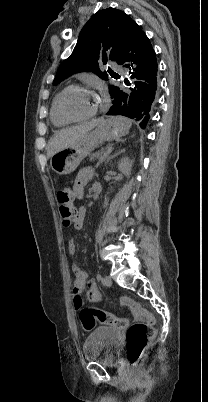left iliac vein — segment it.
<instances>
[{"label": "left iliac vein", "mask_w": 208, "mask_h": 402, "mask_svg": "<svg viewBox=\"0 0 208 402\" xmlns=\"http://www.w3.org/2000/svg\"><path fill=\"white\" fill-rule=\"evenodd\" d=\"M105 286L110 287L112 285V279L110 276L106 275L103 279Z\"/></svg>", "instance_id": "1"}]
</instances>
